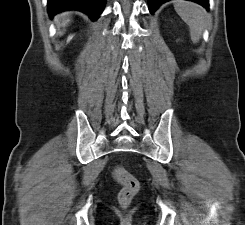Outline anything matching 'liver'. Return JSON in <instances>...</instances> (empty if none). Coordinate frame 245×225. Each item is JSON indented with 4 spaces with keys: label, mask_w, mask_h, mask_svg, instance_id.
<instances>
[{
    "label": "liver",
    "mask_w": 245,
    "mask_h": 225,
    "mask_svg": "<svg viewBox=\"0 0 245 225\" xmlns=\"http://www.w3.org/2000/svg\"><path fill=\"white\" fill-rule=\"evenodd\" d=\"M70 21V15L68 13H62L55 17V23L58 27H66Z\"/></svg>",
    "instance_id": "liver-1"
}]
</instances>
